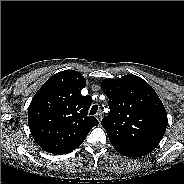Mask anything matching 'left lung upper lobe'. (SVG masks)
<instances>
[{
  "label": "left lung upper lobe",
  "instance_id": "1",
  "mask_svg": "<svg viewBox=\"0 0 184 184\" xmlns=\"http://www.w3.org/2000/svg\"><path fill=\"white\" fill-rule=\"evenodd\" d=\"M110 113L102 119L111 142L149 154L168 125L166 110L154 89L142 78L124 75L101 83Z\"/></svg>",
  "mask_w": 184,
  "mask_h": 184
}]
</instances>
